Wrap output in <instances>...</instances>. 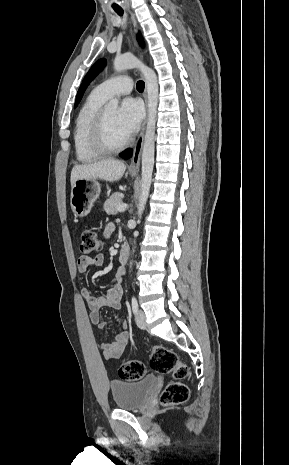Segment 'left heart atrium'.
<instances>
[{
	"label": "left heart atrium",
	"instance_id": "obj_1",
	"mask_svg": "<svg viewBox=\"0 0 289 465\" xmlns=\"http://www.w3.org/2000/svg\"><path fill=\"white\" fill-rule=\"evenodd\" d=\"M144 116L142 103L134 98H126L118 109L117 120L122 133L129 138L140 127Z\"/></svg>",
	"mask_w": 289,
	"mask_h": 465
}]
</instances>
